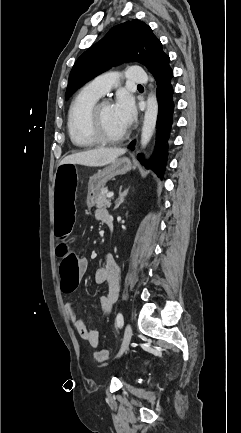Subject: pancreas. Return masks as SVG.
<instances>
[{"mask_svg": "<svg viewBox=\"0 0 241 433\" xmlns=\"http://www.w3.org/2000/svg\"><path fill=\"white\" fill-rule=\"evenodd\" d=\"M94 205L97 208H109L111 206V200L107 198V189H102L97 195Z\"/></svg>", "mask_w": 241, "mask_h": 433, "instance_id": "1", "label": "pancreas"}]
</instances>
